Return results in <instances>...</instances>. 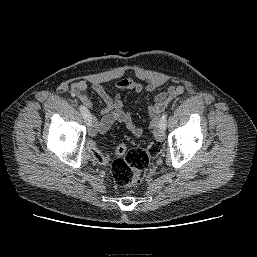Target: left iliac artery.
Instances as JSON below:
<instances>
[{
	"instance_id": "44dca946",
	"label": "left iliac artery",
	"mask_w": 257,
	"mask_h": 257,
	"mask_svg": "<svg viewBox=\"0 0 257 257\" xmlns=\"http://www.w3.org/2000/svg\"><path fill=\"white\" fill-rule=\"evenodd\" d=\"M166 125H167V113H163V115L159 121V127L166 129Z\"/></svg>"
}]
</instances>
